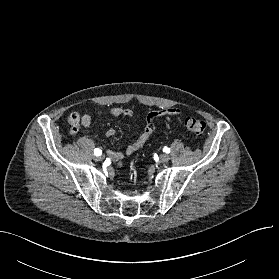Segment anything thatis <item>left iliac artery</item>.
<instances>
[{
  "label": "left iliac artery",
  "mask_w": 279,
  "mask_h": 279,
  "mask_svg": "<svg viewBox=\"0 0 279 279\" xmlns=\"http://www.w3.org/2000/svg\"><path fill=\"white\" fill-rule=\"evenodd\" d=\"M163 151H164L165 153H169V152H170V148L164 147V148H163Z\"/></svg>",
  "instance_id": "1"
}]
</instances>
